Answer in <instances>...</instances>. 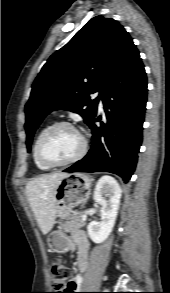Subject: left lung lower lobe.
I'll return each instance as SVG.
<instances>
[{
	"mask_svg": "<svg viewBox=\"0 0 170 293\" xmlns=\"http://www.w3.org/2000/svg\"><path fill=\"white\" fill-rule=\"evenodd\" d=\"M101 99L106 123L97 113L89 127L92 146L88 154L64 172H111L125 183L132 176L142 143L147 101V78L135 46L106 84Z\"/></svg>",
	"mask_w": 170,
	"mask_h": 293,
	"instance_id": "obj_1",
	"label": "left lung lower lobe"
}]
</instances>
